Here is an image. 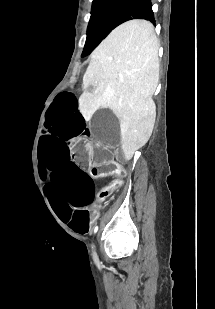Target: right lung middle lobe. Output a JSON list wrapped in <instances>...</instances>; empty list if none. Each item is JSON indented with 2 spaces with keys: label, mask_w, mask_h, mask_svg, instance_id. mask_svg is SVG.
<instances>
[{
  "label": "right lung middle lobe",
  "mask_w": 215,
  "mask_h": 309,
  "mask_svg": "<svg viewBox=\"0 0 215 309\" xmlns=\"http://www.w3.org/2000/svg\"><path fill=\"white\" fill-rule=\"evenodd\" d=\"M132 0H93L91 19L82 56L94 48L117 26V22Z\"/></svg>",
  "instance_id": "right-lung-middle-lobe-1"
}]
</instances>
